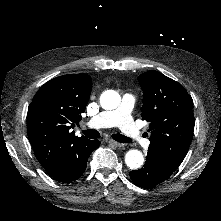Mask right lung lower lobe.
I'll use <instances>...</instances> for the list:
<instances>
[{"label":"right lung lower lobe","mask_w":221,"mask_h":221,"mask_svg":"<svg viewBox=\"0 0 221 221\" xmlns=\"http://www.w3.org/2000/svg\"><path fill=\"white\" fill-rule=\"evenodd\" d=\"M100 145L98 140H89L71 151L67 158L48 174L58 182L77 180L85 171L89 155Z\"/></svg>","instance_id":"right-lung-lower-lobe-1"}]
</instances>
